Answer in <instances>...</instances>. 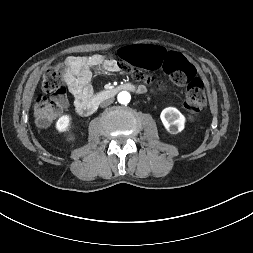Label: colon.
I'll list each match as a JSON object with an SVG mask.
<instances>
[{"label": "colon", "mask_w": 253, "mask_h": 253, "mask_svg": "<svg viewBox=\"0 0 253 253\" xmlns=\"http://www.w3.org/2000/svg\"><path fill=\"white\" fill-rule=\"evenodd\" d=\"M119 67L132 74L137 80L146 84H156L164 88L163 81L156 80L152 75L140 70L146 69L160 74L166 71L170 79L180 85H186L184 109L190 121H194L198 113L206 106V94L203 81L196 76V70L190 64L180 49L168 48L154 40H149L143 45L135 43L125 46L119 52ZM112 59L110 54L104 55ZM66 66L59 63L48 67L43 74V94L37 99L34 114L40 126H48L63 110L66 104L65 85Z\"/></svg>", "instance_id": "5ec220e1"}]
</instances>
